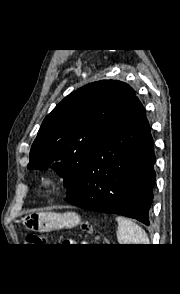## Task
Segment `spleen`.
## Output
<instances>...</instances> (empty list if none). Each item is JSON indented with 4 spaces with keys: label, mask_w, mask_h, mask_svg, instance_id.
I'll return each mask as SVG.
<instances>
[{
    "label": "spleen",
    "mask_w": 180,
    "mask_h": 294,
    "mask_svg": "<svg viewBox=\"0 0 180 294\" xmlns=\"http://www.w3.org/2000/svg\"><path fill=\"white\" fill-rule=\"evenodd\" d=\"M116 221L119 244H149L146 232L139 225L122 216H117Z\"/></svg>",
    "instance_id": "3e777b00"
}]
</instances>
